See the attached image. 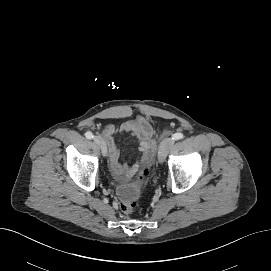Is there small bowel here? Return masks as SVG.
<instances>
[{
	"label": "small bowel",
	"instance_id": "obj_1",
	"mask_svg": "<svg viewBox=\"0 0 271 271\" xmlns=\"http://www.w3.org/2000/svg\"><path fill=\"white\" fill-rule=\"evenodd\" d=\"M132 135L138 144L139 159L133 164H123L120 161V151L116 146L113 136L115 134ZM104 141L108 147L110 158V170L118 180H126L132 177L141 164L152 161L155 152L154 129L152 124L143 117L127 120L118 126L109 124L102 130Z\"/></svg>",
	"mask_w": 271,
	"mask_h": 271
}]
</instances>
